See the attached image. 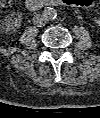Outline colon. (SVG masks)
Instances as JSON below:
<instances>
[{
  "label": "colon",
  "mask_w": 100,
  "mask_h": 118,
  "mask_svg": "<svg viewBox=\"0 0 100 118\" xmlns=\"http://www.w3.org/2000/svg\"><path fill=\"white\" fill-rule=\"evenodd\" d=\"M12 0H0L2 7H8L11 4ZM94 0H67L68 4H80L82 6H91Z\"/></svg>",
  "instance_id": "colon-1"
}]
</instances>
